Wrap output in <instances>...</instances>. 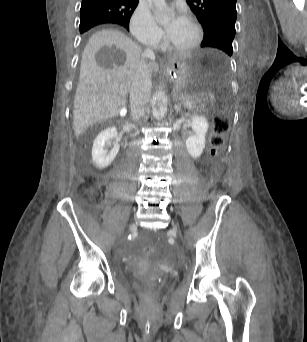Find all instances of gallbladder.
<instances>
[{"mask_svg": "<svg viewBox=\"0 0 307 342\" xmlns=\"http://www.w3.org/2000/svg\"><path fill=\"white\" fill-rule=\"evenodd\" d=\"M120 116L122 117V118H125L126 116H127V109L125 108V107H122L121 109H120Z\"/></svg>", "mask_w": 307, "mask_h": 342, "instance_id": "gallbladder-1", "label": "gallbladder"}]
</instances>
